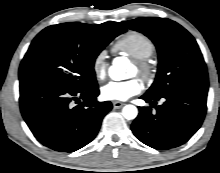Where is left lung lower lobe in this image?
<instances>
[{
	"label": "left lung lower lobe",
	"mask_w": 220,
	"mask_h": 173,
	"mask_svg": "<svg viewBox=\"0 0 220 173\" xmlns=\"http://www.w3.org/2000/svg\"><path fill=\"white\" fill-rule=\"evenodd\" d=\"M165 102L152 111L156 101ZM150 107L140 112L131 125L134 135L144 144L168 150L187 142L200 128L206 113L207 93L177 91L162 97L141 96Z\"/></svg>",
	"instance_id": "0a47b994"
}]
</instances>
